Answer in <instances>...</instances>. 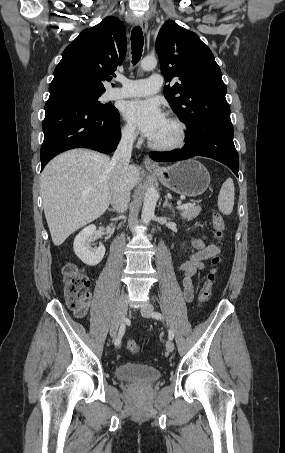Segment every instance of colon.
I'll list each match as a JSON object with an SVG mask.
<instances>
[{
  "mask_svg": "<svg viewBox=\"0 0 285 453\" xmlns=\"http://www.w3.org/2000/svg\"><path fill=\"white\" fill-rule=\"evenodd\" d=\"M213 227L219 239L225 235L226 224L223 217L218 213H213ZM220 262L219 257L212 260L213 267L207 273L201 290L198 294L200 304L206 303L212 293V287L216 278V266ZM63 292L68 307L78 316H84L90 302L89 279L83 269L74 263H66L62 268ZM127 349L132 353L139 351V345L134 339L126 341Z\"/></svg>",
  "mask_w": 285,
  "mask_h": 453,
  "instance_id": "colon-1",
  "label": "colon"
}]
</instances>
